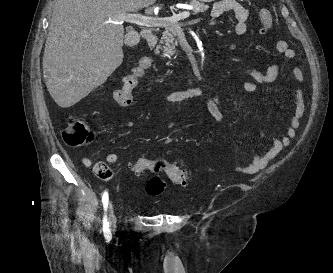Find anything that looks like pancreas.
<instances>
[{"mask_svg":"<svg viewBox=\"0 0 333 273\" xmlns=\"http://www.w3.org/2000/svg\"><path fill=\"white\" fill-rule=\"evenodd\" d=\"M190 5L193 7L194 14L199 12H204L207 10L208 6L203 3L198 2L197 0H191ZM180 29V25L178 23L169 24L165 27V31L163 32L162 38L160 40V44L156 47L155 53L159 54V49L161 48V44H165L163 46V57H171L174 55L176 51V46L178 45V41L176 40L177 31Z\"/></svg>","mask_w":333,"mask_h":273,"instance_id":"cf45deb5","label":"pancreas"}]
</instances>
